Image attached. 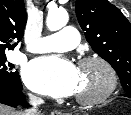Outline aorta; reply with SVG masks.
Returning a JSON list of instances; mask_svg holds the SVG:
<instances>
[{
    "label": "aorta",
    "instance_id": "762f6f07",
    "mask_svg": "<svg viewBox=\"0 0 131 115\" xmlns=\"http://www.w3.org/2000/svg\"><path fill=\"white\" fill-rule=\"evenodd\" d=\"M69 20L68 13L64 10H56L48 13L46 25L49 30L57 31L64 27Z\"/></svg>",
    "mask_w": 131,
    "mask_h": 115
}]
</instances>
